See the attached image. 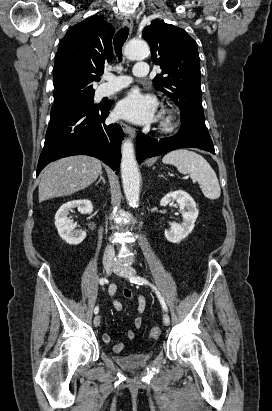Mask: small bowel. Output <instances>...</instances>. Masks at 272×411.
Returning <instances> with one entry per match:
<instances>
[{
    "mask_svg": "<svg viewBox=\"0 0 272 411\" xmlns=\"http://www.w3.org/2000/svg\"><path fill=\"white\" fill-rule=\"evenodd\" d=\"M109 293L112 297V304H113L115 310H117L118 312H122L123 309H124L123 305L118 299L115 298V293H116V286L115 285H112L110 287ZM122 295L126 299L134 302V304L136 305L137 315L134 318V327L136 329L141 328V326H142V314L145 310V298H144V296L142 294H137L136 295V294H134V292H132L130 289H127V288L123 289ZM134 337H135L134 330H128L125 334L124 340L117 343L113 347L114 352L121 353L124 350L126 342L134 339ZM103 339H104L105 342H109L110 341V336L109 335H104Z\"/></svg>",
    "mask_w": 272,
    "mask_h": 411,
    "instance_id": "c3829d8e",
    "label": "small bowel"
}]
</instances>
